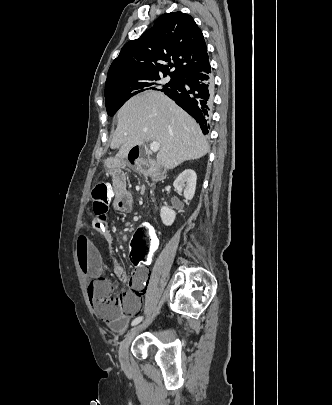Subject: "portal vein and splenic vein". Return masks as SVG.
Returning a JSON list of instances; mask_svg holds the SVG:
<instances>
[{
    "mask_svg": "<svg viewBox=\"0 0 332 405\" xmlns=\"http://www.w3.org/2000/svg\"><path fill=\"white\" fill-rule=\"evenodd\" d=\"M149 147H150L151 152L156 153L160 148V143L153 141L149 144Z\"/></svg>",
    "mask_w": 332,
    "mask_h": 405,
    "instance_id": "portal-vein-and-splenic-vein-1",
    "label": "portal vein and splenic vein"
}]
</instances>
